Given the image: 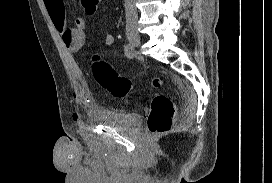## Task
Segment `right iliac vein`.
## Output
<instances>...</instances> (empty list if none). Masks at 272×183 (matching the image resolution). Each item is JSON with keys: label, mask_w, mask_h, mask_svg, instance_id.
Masks as SVG:
<instances>
[{"label": "right iliac vein", "mask_w": 272, "mask_h": 183, "mask_svg": "<svg viewBox=\"0 0 272 183\" xmlns=\"http://www.w3.org/2000/svg\"><path fill=\"white\" fill-rule=\"evenodd\" d=\"M127 37H128L129 42L133 46H139L140 45V36L136 31H134V30L129 31L127 33Z\"/></svg>", "instance_id": "1"}]
</instances>
